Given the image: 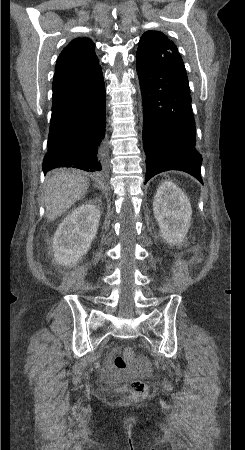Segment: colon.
Wrapping results in <instances>:
<instances>
[{
	"label": "colon",
	"mask_w": 245,
	"mask_h": 450,
	"mask_svg": "<svg viewBox=\"0 0 245 450\" xmlns=\"http://www.w3.org/2000/svg\"><path fill=\"white\" fill-rule=\"evenodd\" d=\"M133 358V349L126 346L122 349V351L116 354L114 358V366L119 370H125L129 367ZM126 388L135 398L145 397L149 391L147 384L142 381H132Z\"/></svg>",
	"instance_id": "1"
}]
</instances>
